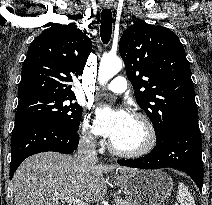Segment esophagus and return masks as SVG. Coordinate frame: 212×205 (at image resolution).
<instances>
[{"instance_id": "esophagus-1", "label": "esophagus", "mask_w": 212, "mask_h": 205, "mask_svg": "<svg viewBox=\"0 0 212 205\" xmlns=\"http://www.w3.org/2000/svg\"><path fill=\"white\" fill-rule=\"evenodd\" d=\"M105 7H110V5L109 4H105Z\"/></svg>"}]
</instances>
